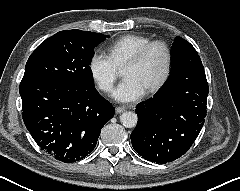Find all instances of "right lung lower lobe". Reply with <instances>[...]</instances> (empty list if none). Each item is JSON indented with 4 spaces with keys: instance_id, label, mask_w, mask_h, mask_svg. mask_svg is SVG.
I'll list each match as a JSON object with an SVG mask.
<instances>
[{
    "instance_id": "1",
    "label": "right lung lower lobe",
    "mask_w": 240,
    "mask_h": 191,
    "mask_svg": "<svg viewBox=\"0 0 240 191\" xmlns=\"http://www.w3.org/2000/svg\"><path fill=\"white\" fill-rule=\"evenodd\" d=\"M23 121L37 145L52 158L72 163L90 154L114 108L95 88L53 79H22Z\"/></svg>"
}]
</instances>
